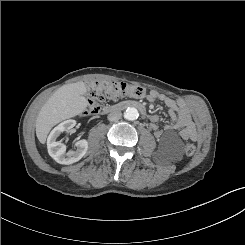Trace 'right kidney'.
<instances>
[{"label": "right kidney", "instance_id": "1", "mask_svg": "<svg viewBox=\"0 0 245 245\" xmlns=\"http://www.w3.org/2000/svg\"><path fill=\"white\" fill-rule=\"evenodd\" d=\"M76 125L75 120H66L56 126L48 136L47 149L49 155L60 164L70 165L79 161L88 150V141L82 139L75 143L76 150L66 153V146L57 141L58 136L64 131L72 129Z\"/></svg>", "mask_w": 245, "mask_h": 245}]
</instances>
